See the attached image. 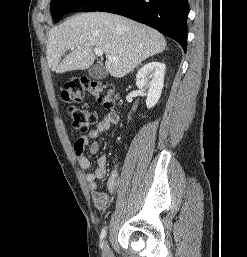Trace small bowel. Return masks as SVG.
Here are the masks:
<instances>
[{
    "instance_id": "c3829d8e",
    "label": "small bowel",
    "mask_w": 247,
    "mask_h": 257,
    "mask_svg": "<svg viewBox=\"0 0 247 257\" xmlns=\"http://www.w3.org/2000/svg\"><path fill=\"white\" fill-rule=\"evenodd\" d=\"M118 122L119 115L115 112H110L98 122L95 128L79 137L74 143L77 162L82 169L87 171L85 178L88 182L93 202L99 210H105L110 203L109 195L100 190L98 182L107 175V159L104 155L99 156L97 159L98 167L92 171L90 160L86 154V148L88 147L91 155L97 154L100 150V143L94 140L101 133L109 130L111 126L118 124ZM119 174V165L116 164L107 181V188L110 193L115 192L117 188Z\"/></svg>"
}]
</instances>
